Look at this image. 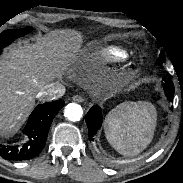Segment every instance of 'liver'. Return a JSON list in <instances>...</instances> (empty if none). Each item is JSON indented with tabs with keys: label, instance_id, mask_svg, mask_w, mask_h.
<instances>
[{
	"label": "liver",
	"instance_id": "6515ba94",
	"mask_svg": "<svg viewBox=\"0 0 183 183\" xmlns=\"http://www.w3.org/2000/svg\"><path fill=\"white\" fill-rule=\"evenodd\" d=\"M83 39L76 31L54 32L19 44L0 60V135L16 132L33 108L36 93L79 63Z\"/></svg>",
	"mask_w": 183,
	"mask_h": 183
}]
</instances>
